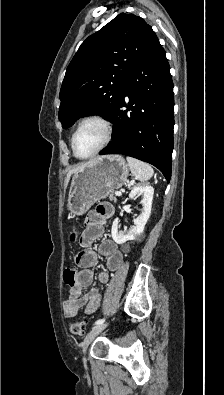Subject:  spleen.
<instances>
[{
	"label": "spleen",
	"instance_id": "obj_1",
	"mask_svg": "<svg viewBox=\"0 0 224 395\" xmlns=\"http://www.w3.org/2000/svg\"><path fill=\"white\" fill-rule=\"evenodd\" d=\"M127 162L130 167L131 173L141 182L149 180L153 176V169L147 163L138 159L127 157Z\"/></svg>",
	"mask_w": 224,
	"mask_h": 395
}]
</instances>
